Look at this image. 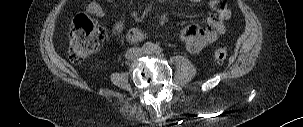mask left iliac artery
<instances>
[{
    "instance_id": "obj_1",
    "label": "left iliac artery",
    "mask_w": 303,
    "mask_h": 127,
    "mask_svg": "<svg viewBox=\"0 0 303 127\" xmlns=\"http://www.w3.org/2000/svg\"><path fill=\"white\" fill-rule=\"evenodd\" d=\"M145 48H146V52L148 54H152V53H158L159 54L163 51V49L160 46H158L156 44H153V43H150V42L145 44Z\"/></svg>"
}]
</instances>
